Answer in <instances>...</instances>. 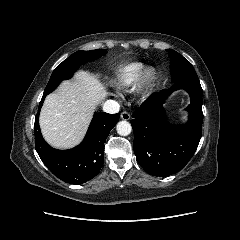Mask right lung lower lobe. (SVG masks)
Returning <instances> with one entry per match:
<instances>
[{"label":"right lung lower lobe","mask_w":240,"mask_h":240,"mask_svg":"<svg viewBox=\"0 0 240 240\" xmlns=\"http://www.w3.org/2000/svg\"><path fill=\"white\" fill-rule=\"evenodd\" d=\"M46 94L41 99L35 118V148L46 167L58 178L72 184H82L94 178L104 162V143L120 115L95 112L84 140L70 150H57L43 139L39 127V112Z\"/></svg>","instance_id":"98d812e1"}]
</instances>
